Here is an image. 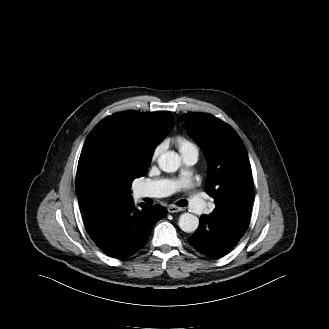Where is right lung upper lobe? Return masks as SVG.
Instances as JSON below:
<instances>
[{"instance_id": "cb5924a9", "label": "right lung upper lobe", "mask_w": 329, "mask_h": 329, "mask_svg": "<svg viewBox=\"0 0 329 329\" xmlns=\"http://www.w3.org/2000/svg\"><path fill=\"white\" fill-rule=\"evenodd\" d=\"M169 112H121L101 120L88 135L78 162L76 187L83 212L105 202L132 199L130 188L133 180L119 167L122 148H137L150 158L155 147L166 136L171 126ZM98 170L114 177L112 192L98 196L86 185L90 173ZM139 177L144 176L146 164L136 165ZM138 178V177H137Z\"/></svg>"}]
</instances>
